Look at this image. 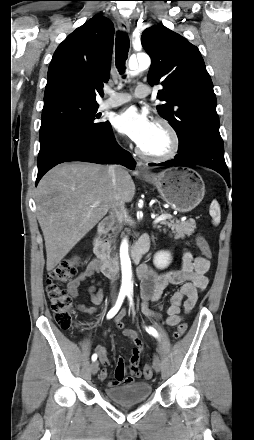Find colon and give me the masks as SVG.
Here are the masks:
<instances>
[{"instance_id":"colon-1","label":"colon","mask_w":254,"mask_h":440,"mask_svg":"<svg viewBox=\"0 0 254 440\" xmlns=\"http://www.w3.org/2000/svg\"><path fill=\"white\" fill-rule=\"evenodd\" d=\"M196 244L204 257L210 259L212 251L207 239L199 234L196 236ZM80 264L81 258L78 255H73L54 266L48 274L46 291L50 307L56 325L63 330H69L73 326V304L69 293L62 287V283L66 282L77 273ZM186 331L187 324L185 322L178 324L174 332V338L181 339ZM143 374L146 378L152 377V367L146 365Z\"/></svg>"}]
</instances>
